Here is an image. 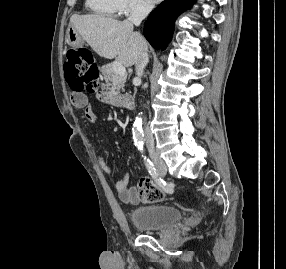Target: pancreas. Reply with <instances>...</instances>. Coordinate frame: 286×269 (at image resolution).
Wrapping results in <instances>:
<instances>
[{
  "mask_svg": "<svg viewBox=\"0 0 286 269\" xmlns=\"http://www.w3.org/2000/svg\"><path fill=\"white\" fill-rule=\"evenodd\" d=\"M101 73L105 80L102 85V94L109 103L117 102L121 98L120 90H124L127 75L117 74L113 70V63L104 65L101 68Z\"/></svg>",
  "mask_w": 286,
  "mask_h": 269,
  "instance_id": "pancreas-1",
  "label": "pancreas"
}]
</instances>
